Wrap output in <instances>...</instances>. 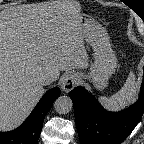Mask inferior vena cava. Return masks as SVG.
I'll return each instance as SVG.
<instances>
[{
  "mask_svg": "<svg viewBox=\"0 0 144 144\" xmlns=\"http://www.w3.org/2000/svg\"><path fill=\"white\" fill-rule=\"evenodd\" d=\"M57 80V76L54 73H47L42 76L40 82L42 85H49Z\"/></svg>",
  "mask_w": 144,
  "mask_h": 144,
  "instance_id": "obj_1",
  "label": "inferior vena cava"
}]
</instances>
